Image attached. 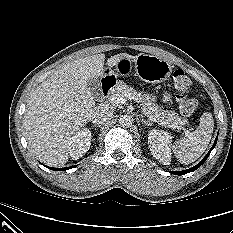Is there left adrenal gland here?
Listing matches in <instances>:
<instances>
[{
    "label": "left adrenal gland",
    "instance_id": "obj_1",
    "mask_svg": "<svg viewBox=\"0 0 233 233\" xmlns=\"http://www.w3.org/2000/svg\"><path fill=\"white\" fill-rule=\"evenodd\" d=\"M140 119H141V123H142V124H145V125H147V126H152V122H151L150 120H145V119L143 118V115H140Z\"/></svg>",
    "mask_w": 233,
    "mask_h": 233
}]
</instances>
